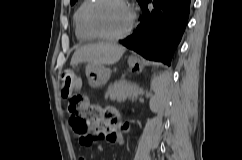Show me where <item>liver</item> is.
<instances>
[{
  "label": "liver",
  "mask_w": 242,
  "mask_h": 160,
  "mask_svg": "<svg viewBox=\"0 0 242 160\" xmlns=\"http://www.w3.org/2000/svg\"><path fill=\"white\" fill-rule=\"evenodd\" d=\"M125 50V47L114 43L85 45L74 52L70 64L74 66L87 62L92 65H113L120 60Z\"/></svg>",
  "instance_id": "1"
}]
</instances>
